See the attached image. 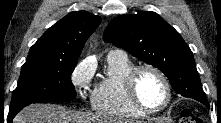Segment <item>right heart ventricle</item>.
<instances>
[{
    "label": "right heart ventricle",
    "mask_w": 221,
    "mask_h": 123,
    "mask_svg": "<svg viewBox=\"0 0 221 123\" xmlns=\"http://www.w3.org/2000/svg\"><path fill=\"white\" fill-rule=\"evenodd\" d=\"M134 68L127 57L107 59L106 76L96 84L92 94V108L96 113L117 120L145 116L131 103L126 92V78Z\"/></svg>",
    "instance_id": "obj_1"
}]
</instances>
